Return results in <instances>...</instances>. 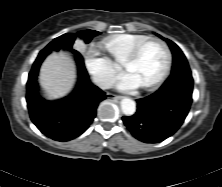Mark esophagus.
Masks as SVG:
<instances>
[{
    "label": "esophagus",
    "mask_w": 222,
    "mask_h": 187,
    "mask_svg": "<svg viewBox=\"0 0 222 187\" xmlns=\"http://www.w3.org/2000/svg\"><path fill=\"white\" fill-rule=\"evenodd\" d=\"M107 98L108 99H114V100H120L122 99L121 96L115 95V94H111V93H107Z\"/></svg>",
    "instance_id": "obj_1"
}]
</instances>
